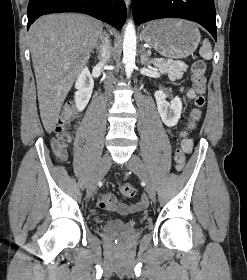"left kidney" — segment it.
Wrapping results in <instances>:
<instances>
[{"mask_svg": "<svg viewBox=\"0 0 247 280\" xmlns=\"http://www.w3.org/2000/svg\"><path fill=\"white\" fill-rule=\"evenodd\" d=\"M159 115L165 125L173 127L177 125L181 112L182 101L179 97H175L171 103L166 101V95L162 90H158L154 94Z\"/></svg>", "mask_w": 247, "mask_h": 280, "instance_id": "obj_1", "label": "left kidney"}]
</instances>
